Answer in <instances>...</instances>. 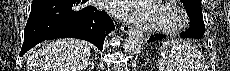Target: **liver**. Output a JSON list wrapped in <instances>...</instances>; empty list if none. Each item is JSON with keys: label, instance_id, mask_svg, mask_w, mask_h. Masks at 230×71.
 I'll return each instance as SVG.
<instances>
[{"label": "liver", "instance_id": "liver-1", "mask_svg": "<svg viewBox=\"0 0 230 71\" xmlns=\"http://www.w3.org/2000/svg\"><path fill=\"white\" fill-rule=\"evenodd\" d=\"M90 56V47L81 40L46 42L29 55L27 71H82Z\"/></svg>", "mask_w": 230, "mask_h": 71}]
</instances>
